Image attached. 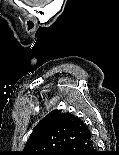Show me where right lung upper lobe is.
Returning a JSON list of instances; mask_svg holds the SVG:
<instances>
[{
  "mask_svg": "<svg viewBox=\"0 0 119 155\" xmlns=\"http://www.w3.org/2000/svg\"><path fill=\"white\" fill-rule=\"evenodd\" d=\"M87 132V126L80 118L54 110L33 129L21 155H61Z\"/></svg>",
  "mask_w": 119,
  "mask_h": 155,
  "instance_id": "1",
  "label": "right lung upper lobe"
}]
</instances>
